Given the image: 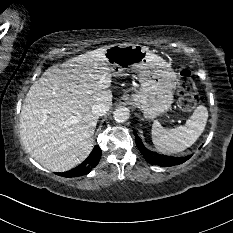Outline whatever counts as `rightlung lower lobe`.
<instances>
[{"instance_id": "98d812e1", "label": "right lung lower lobe", "mask_w": 233, "mask_h": 233, "mask_svg": "<svg viewBox=\"0 0 233 233\" xmlns=\"http://www.w3.org/2000/svg\"><path fill=\"white\" fill-rule=\"evenodd\" d=\"M101 158V149L99 146H95L91 152V154L87 157V159L81 163L76 168L64 172V173H57L60 176L64 177H78L84 174L89 173L94 167L97 166L99 160Z\"/></svg>"}]
</instances>
